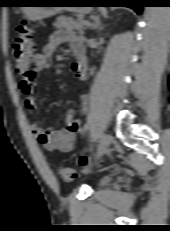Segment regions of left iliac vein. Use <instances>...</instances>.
<instances>
[{
	"label": "left iliac vein",
	"instance_id": "4c4485c4",
	"mask_svg": "<svg viewBox=\"0 0 170 231\" xmlns=\"http://www.w3.org/2000/svg\"><path fill=\"white\" fill-rule=\"evenodd\" d=\"M111 142H112V136L107 133L103 134L99 147H98L97 156H102L103 154H105ZM87 171L88 169L84 170V172H87Z\"/></svg>",
	"mask_w": 170,
	"mask_h": 231
}]
</instances>
